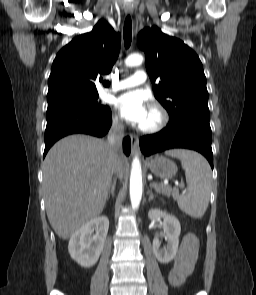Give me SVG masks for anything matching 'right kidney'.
Here are the masks:
<instances>
[{
    "instance_id": "obj_1",
    "label": "right kidney",
    "mask_w": 256,
    "mask_h": 295,
    "mask_svg": "<svg viewBox=\"0 0 256 295\" xmlns=\"http://www.w3.org/2000/svg\"><path fill=\"white\" fill-rule=\"evenodd\" d=\"M109 228L106 216L96 217L82 225L70 238L68 251L73 260L84 268L96 264L104 247ZM96 234L92 237V233Z\"/></svg>"
}]
</instances>
